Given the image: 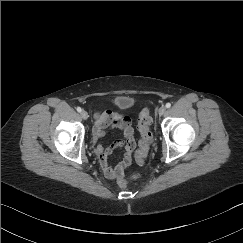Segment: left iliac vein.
Masks as SVG:
<instances>
[{"label":"left iliac vein","mask_w":243,"mask_h":243,"mask_svg":"<svg viewBox=\"0 0 243 243\" xmlns=\"http://www.w3.org/2000/svg\"><path fill=\"white\" fill-rule=\"evenodd\" d=\"M166 112V108L164 106H161L158 110L159 115H164Z\"/></svg>","instance_id":"4c4485c4"}]
</instances>
